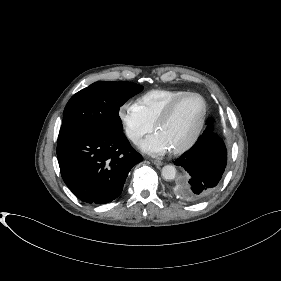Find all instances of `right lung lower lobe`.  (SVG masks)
Returning a JSON list of instances; mask_svg holds the SVG:
<instances>
[{
  "label": "right lung lower lobe",
  "mask_w": 281,
  "mask_h": 281,
  "mask_svg": "<svg viewBox=\"0 0 281 281\" xmlns=\"http://www.w3.org/2000/svg\"><path fill=\"white\" fill-rule=\"evenodd\" d=\"M62 178L82 201L105 204L117 198L142 156L123 132L83 134L57 144Z\"/></svg>",
  "instance_id": "obj_1"
}]
</instances>
